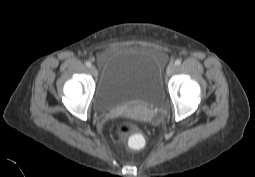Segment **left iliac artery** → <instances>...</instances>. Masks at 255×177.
<instances>
[{
  "label": "left iliac artery",
  "mask_w": 255,
  "mask_h": 177,
  "mask_svg": "<svg viewBox=\"0 0 255 177\" xmlns=\"http://www.w3.org/2000/svg\"><path fill=\"white\" fill-rule=\"evenodd\" d=\"M181 64V60L180 59H177L176 61H175V65L176 66H179Z\"/></svg>",
  "instance_id": "obj_1"
}]
</instances>
